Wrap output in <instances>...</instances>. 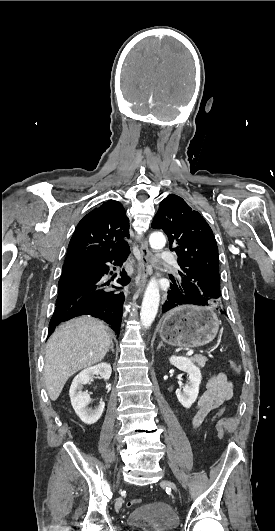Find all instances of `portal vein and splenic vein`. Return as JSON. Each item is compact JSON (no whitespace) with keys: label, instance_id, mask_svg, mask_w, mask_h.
Wrapping results in <instances>:
<instances>
[{"label":"portal vein and splenic vein","instance_id":"portal-vein-and-splenic-vein-1","mask_svg":"<svg viewBox=\"0 0 275 531\" xmlns=\"http://www.w3.org/2000/svg\"><path fill=\"white\" fill-rule=\"evenodd\" d=\"M187 355L192 356L193 355V350H188Z\"/></svg>","mask_w":275,"mask_h":531}]
</instances>
